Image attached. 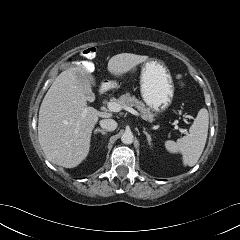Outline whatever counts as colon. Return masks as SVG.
Instances as JSON below:
<instances>
[{
  "label": "colon",
  "instance_id": "1",
  "mask_svg": "<svg viewBox=\"0 0 240 240\" xmlns=\"http://www.w3.org/2000/svg\"><path fill=\"white\" fill-rule=\"evenodd\" d=\"M82 56H84L85 58H93L96 54V49L93 48V47H89V48H86L84 49L82 52H81Z\"/></svg>",
  "mask_w": 240,
  "mask_h": 240
}]
</instances>
